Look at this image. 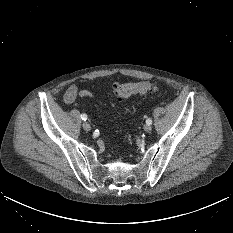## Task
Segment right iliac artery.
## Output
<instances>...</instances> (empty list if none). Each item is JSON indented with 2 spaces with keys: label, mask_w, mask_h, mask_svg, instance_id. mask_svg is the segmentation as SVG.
Segmentation results:
<instances>
[{
  "label": "right iliac artery",
  "mask_w": 233,
  "mask_h": 233,
  "mask_svg": "<svg viewBox=\"0 0 233 233\" xmlns=\"http://www.w3.org/2000/svg\"><path fill=\"white\" fill-rule=\"evenodd\" d=\"M81 119H82L83 121H86V120H87V115H86V114H81Z\"/></svg>",
  "instance_id": "82829eb1"
}]
</instances>
